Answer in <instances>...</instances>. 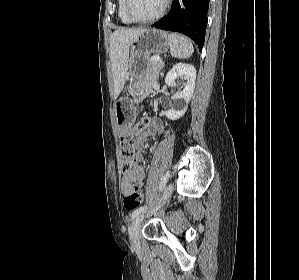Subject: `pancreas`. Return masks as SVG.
I'll return each mask as SVG.
<instances>
[{
  "label": "pancreas",
  "instance_id": "1",
  "mask_svg": "<svg viewBox=\"0 0 299 280\" xmlns=\"http://www.w3.org/2000/svg\"><path fill=\"white\" fill-rule=\"evenodd\" d=\"M163 65L162 62L149 60L142 81L143 88H151V86L157 82L159 73L163 69Z\"/></svg>",
  "mask_w": 299,
  "mask_h": 280
}]
</instances>
